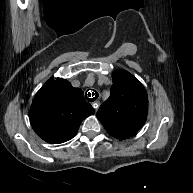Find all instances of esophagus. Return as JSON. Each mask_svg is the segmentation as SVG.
<instances>
[{
  "instance_id": "obj_1",
  "label": "esophagus",
  "mask_w": 193,
  "mask_h": 193,
  "mask_svg": "<svg viewBox=\"0 0 193 193\" xmlns=\"http://www.w3.org/2000/svg\"><path fill=\"white\" fill-rule=\"evenodd\" d=\"M89 92H90V94H89L90 98L99 96V93H98L97 91H89ZM95 102H97V100H96ZM93 106H94V108H95L96 110H97L98 107H99V105H98L97 103H96V104H93Z\"/></svg>"
}]
</instances>
